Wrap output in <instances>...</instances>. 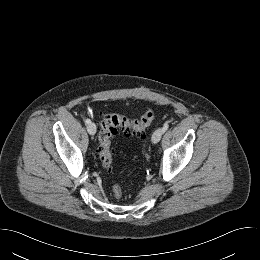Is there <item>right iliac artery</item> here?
<instances>
[{
  "label": "right iliac artery",
  "instance_id": "obj_1",
  "mask_svg": "<svg viewBox=\"0 0 260 260\" xmlns=\"http://www.w3.org/2000/svg\"><path fill=\"white\" fill-rule=\"evenodd\" d=\"M85 123H86V124L91 123L90 119H86V120H85Z\"/></svg>",
  "mask_w": 260,
  "mask_h": 260
}]
</instances>
